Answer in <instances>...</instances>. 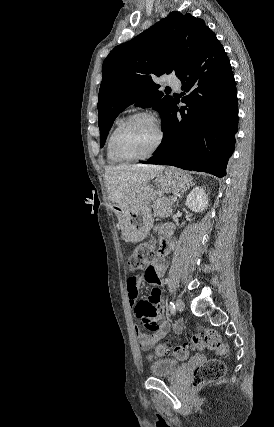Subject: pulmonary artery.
Here are the masks:
<instances>
[{
	"label": "pulmonary artery",
	"instance_id": "1",
	"mask_svg": "<svg viewBox=\"0 0 274 427\" xmlns=\"http://www.w3.org/2000/svg\"><path fill=\"white\" fill-rule=\"evenodd\" d=\"M168 83H169V84H175V83H176V78H175V77H169V78H168ZM173 87H174L175 89H177V90H179V89H180V85H179V83H177V84L173 85Z\"/></svg>",
	"mask_w": 274,
	"mask_h": 427
}]
</instances>
